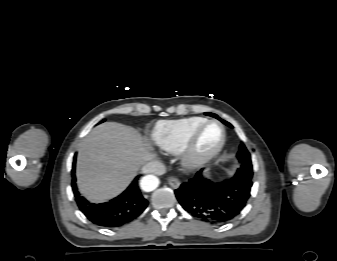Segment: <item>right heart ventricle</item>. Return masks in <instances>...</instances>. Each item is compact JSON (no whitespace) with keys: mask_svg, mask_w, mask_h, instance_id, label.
Instances as JSON below:
<instances>
[{"mask_svg":"<svg viewBox=\"0 0 337 261\" xmlns=\"http://www.w3.org/2000/svg\"><path fill=\"white\" fill-rule=\"evenodd\" d=\"M205 121L202 117L160 121L153 130V139L162 150L180 153L191 133Z\"/></svg>","mask_w":337,"mask_h":261,"instance_id":"right-heart-ventricle-1","label":"right heart ventricle"}]
</instances>
